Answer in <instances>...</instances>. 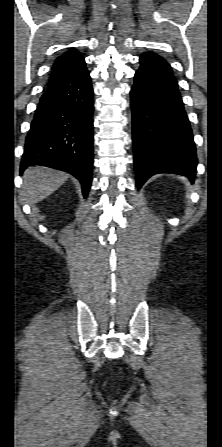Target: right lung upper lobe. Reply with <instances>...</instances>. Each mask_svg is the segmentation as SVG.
Wrapping results in <instances>:
<instances>
[{
    "label": "right lung upper lobe",
    "instance_id": "right-lung-upper-lobe-1",
    "mask_svg": "<svg viewBox=\"0 0 222 447\" xmlns=\"http://www.w3.org/2000/svg\"><path fill=\"white\" fill-rule=\"evenodd\" d=\"M83 60L79 52L69 50L59 56L53 64L49 85H52L72 72L74 67Z\"/></svg>",
    "mask_w": 222,
    "mask_h": 447
}]
</instances>
